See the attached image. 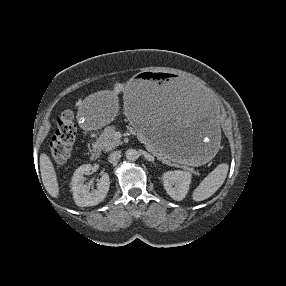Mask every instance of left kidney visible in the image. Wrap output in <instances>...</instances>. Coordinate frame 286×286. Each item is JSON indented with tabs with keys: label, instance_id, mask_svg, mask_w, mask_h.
Returning a JSON list of instances; mask_svg holds the SVG:
<instances>
[{
	"label": "left kidney",
	"instance_id": "left-kidney-1",
	"mask_svg": "<svg viewBox=\"0 0 286 286\" xmlns=\"http://www.w3.org/2000/svg\"><path fill=\"white\" fill-rule=\"evenodd\" d=\"M164 189L168 195L176 200L181 201L188 193L191 184L192 174L187 171H168L163 175Z\"/></svg>",
	"mask_w": 286,
	"mask_h": 286
}]
</instances>
